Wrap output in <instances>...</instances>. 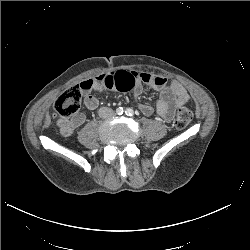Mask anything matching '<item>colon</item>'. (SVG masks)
Segmentation results:
<instances>
[{"instance_id": "5ec220e1", "label": "colon", "mask_w": 250, "mask_h": 250, "mask_svg": "<svg viewBox=\"0 0 250 250\" xmlns=\"http://www.w3.org/2000/svg\"><path fill=\"white\" fill-rule=\"evenodd\" d=\"M82 91L80 86H73L63 91L55 100L53 108L61 118H69L76 114L80 108ZM193 119V113L186 107L178 109L174 125L177 129L182 130L186 128Z\"/></svg>"}]
</instances>
